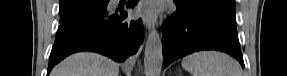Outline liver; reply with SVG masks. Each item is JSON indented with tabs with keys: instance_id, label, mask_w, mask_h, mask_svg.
<instances>
[{
	"instance_id": "liver-1",
	"label": "liver",
	"mask_w": 287,
	"mask_h": 76,
	"mask_svg": "<svg viewBox=\"0 0 287 76\" xmlns=\"http://www.w3.org/2000/svg\"><path fill=\"white\" fill-rule=\"evenodd\" d=\"M119 65L96 53L73 54L55 66L51 76H118Z\"/></svg>"
}]
</instances>
